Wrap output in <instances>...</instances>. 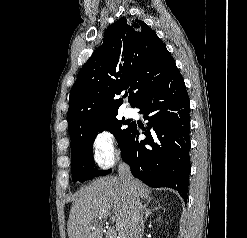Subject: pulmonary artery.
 <instances>
[{
	"mask_svg": "<svg viewBox=\"0 0 247 238\" xmlns=\"http://www.w3.org/2000/svg\"><path fill=\"white\" fill-rule=\"evenodd\" d=\"M124 113H125V115L127 116V117H130V116H132L133 115V110L131 109V108H129V107H127L125 110H124Z\"/></svg>",
	"mask_w": 247,
	"mask_h": 238,
	"instance_id": "obj_1",
	"label": "pulmonary artery"
}]
</instances>
